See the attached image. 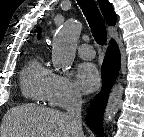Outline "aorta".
Segmentation results:
<instances>
[{"label": "aorta", "instance_id": "1", "mask_svg": "<svg viewBox=\"0 0 144 137\" xmlns=\"http://www.w3.org/2000/svg\"><path fill=\"white\" fill-rule=\"evenodd\" d=\"M81 24L75 19H68L53 40L52 62L59 69L67 70L73 64L76 46L81 33ZM123 94L121 83L114 85L109 95L104 113V124H108L117 114Z\"/></svg>", "mask_w": 144, "mask_h": 137}]
</instances>
